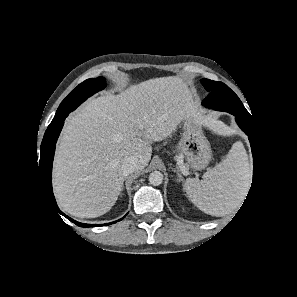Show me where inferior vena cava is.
<instances>
[{
  "label": "inferior vena cava",
  "instance_id": "inferior-vena-cava-1",
  "mask_svg": "<svg viewBox=\"0 0 297 297\" xmlns=\"http://www.w3.org/2000/svg\"><path fill=\"white\" fill-rule=\"evenodd\" d=\"M137 169V159L134 157H129L125 162L122 164V172L124 175H129L135 172Z\"/></svg>",
  "mask_w": 297,
  "mask_h": 297
}]
</instances>
